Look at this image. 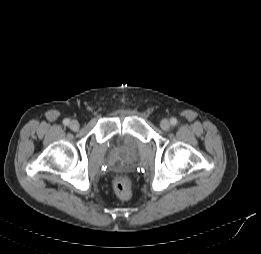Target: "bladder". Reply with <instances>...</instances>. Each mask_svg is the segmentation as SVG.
<instances>
[{
	"instance_id": "bladder-1",
	"label": "bladder",
	"mask_w": 261,
	"mask_h": 254,
	"mask_svg": "<svg viewBox=\"0 0 261 254\" xmlns=\"http://www.w3.org/2000/svg\"><path fill=\"white\" fill-rule=\"evenodd\" d=\"M113 154L117 162H132L138 154V148L133 139L123 137L118 140L113 148Z\"/></svg>"
}]
</instances>
